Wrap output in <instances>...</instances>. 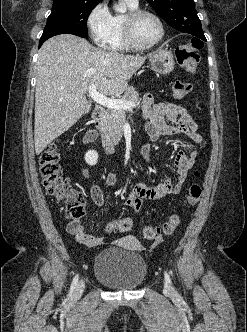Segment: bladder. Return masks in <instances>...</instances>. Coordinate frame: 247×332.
Segmentation results:
<instances>
[{"label": "bladder", "instance_id": "31cf9c89", "mask_svg": "<svg viewBox=\"0 0 247 332\" xmlns=\"http://www.w3.org/2000/svg\"><path fill=\"white\" fill-rule=\"evenodd\" d=\"M95 278L115 290L138 288L147 275V264L139 253L119 246L102 250L94 263Z\"/></svg>", "mask_w": 247, "mask_h": 332}]
</instances>
